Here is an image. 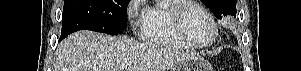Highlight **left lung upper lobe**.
<instances>
[{
    "label": "left lung upper lobe",
    "instance_id": "left-lung-upper-lobe-1",
    "mask_svg": "<svg viewBox=\"0 0 301 71\" xmlns=\"http://www.w3.org/2000/svg\"><path fill=\"white\" fill-rule=\"evenodd\" d=\"M203 3L220 19L227 15L236 17V0H202Z\"/></svg>",
    "mask_w": 301,
    "mask_h": 71
}]
</instances>
